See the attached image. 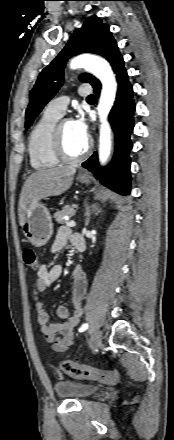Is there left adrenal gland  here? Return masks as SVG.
<instances>
[{"label":"left adrenal gland","instance_id":"a2214340","mask_svg":"<svg viewBox=\"0 0 174 440\" xmlns=\"http://www.w3.org/2000/svg\"><path fill=\"white\" fill-rule=\"evenodd\" d=\"M90 216H91L90 212L87 211V213H86V221H85V225H88V224H89V222H90Z\"/></svg>","mask_w":174,"mask_h":440}]
</instances>
